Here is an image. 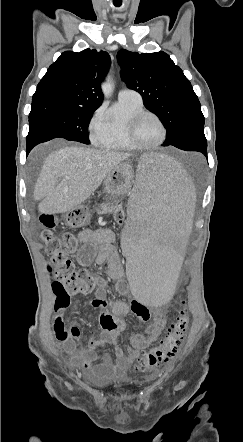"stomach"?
I'll return each mask as SVG.
<instances>
[{
	"label": "stomach",
	"mask_w": 243,
	"mask_h": 442,
	"mask_svg": "<svg viewBox=\"0 0 243 442\" xmlns=\"http://www.w3.org/2000/svg\"><path fill=\"white\" fill-rule=\"evenodd\" d=\"M134 172L129 163H120L106 177L104 181L105 192L112 196H122L129 193L133 183ZM90 219V213L84 206H77L64 215L65 223L77 228L86 224Z\"/></svg>",
	"instance_id": "stomach-1"
}]
</instances>
